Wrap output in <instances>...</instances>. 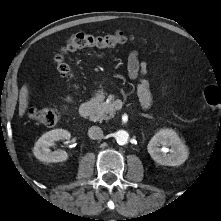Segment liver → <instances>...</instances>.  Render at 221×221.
Segmentation results:
<instances>
[{
	"label": "liver",
	"mask_w": 221,
	"mask_h": 221,
	"mask_svg": "<svg viewBox=\"0 0 221 221\" xmlns=\"http://www.w3.org/2000/svg\"><path fill=\"white\" fill-rule=\"evenodd\" d=\"M28 96H29V91H28V86L25 84L22 86L20 90V95H19V116L22 117L26 109L28 108Z\"/></svg>",
	"instance_id": "liver-1"
}]
</instances>
